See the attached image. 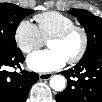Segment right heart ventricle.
<instances>
[{"label":"right heart ventricle","mask_w":102,"mask_h":102,"mask_svg":"<svg viewBox=\"0 0 102 102\" xmlns=\"http://www.w3.org/2000/svg\"><path fill=\"white\" fill-rule=\"evenodd\" d=\"M35 20L44 41L51 39L54 35L76 24L72 17L57 11L37 14Z\"/></svg>","instance_id":"obj_1"}]
</instances>
